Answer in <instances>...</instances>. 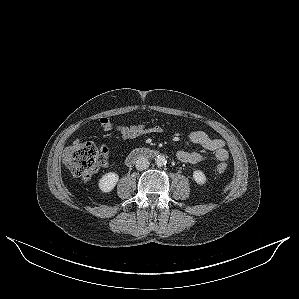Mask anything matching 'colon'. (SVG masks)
I'll return each instance as SVG.
<instances>
[{
    "label": "colon",
    "mask_w": 299,
    "mask_h": 299,
    "mask_svg": "<svg viewBox=\"0 0 299 299\" xmlns=\"http://www.w3.org/2000/svg\"><path fill=\"white\" fill-rule=\"evenodd\" d=\"M63 161L71 174L82 180L90 179L104 165L106 157L92 142H77L64 152ZM227 164L222 162L216 167L218 173L226 170Z\"/></svg>",
    "instance_id": "5ec220e1"
}]
</instances>
